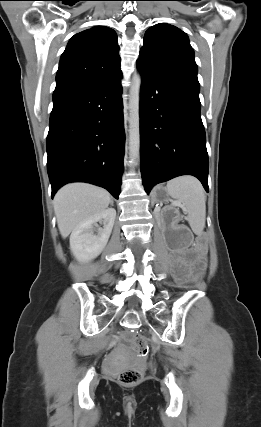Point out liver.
Returning a JSON list of instances; mask_svg holds the SVG:
<instances>
[{"label": "liver", "instance_id": "obj_1", "mask_svg": "<svg viewBox=\"0 0 261 427\" xmlns=\"http://www.w3.org/2000/svg\"><path fill=\"white\" fill-rule=\"evenodd\" d=\"M111 201L107 190L86 183L63 186L54 197L60 234L66 238L81 222L103 212Z\"/></svg>", "mask_w": 261, "mask_h": 427}]
</instances>
